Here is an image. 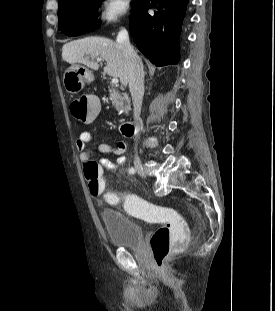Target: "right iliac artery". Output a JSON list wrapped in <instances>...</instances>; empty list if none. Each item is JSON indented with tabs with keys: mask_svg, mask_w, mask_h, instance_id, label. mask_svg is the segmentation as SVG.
Listing matches in <instances>:
<instances>
[{
	"mask_svg": "<svg viewBox=\"0 0 275 311\" xmlns=\"http://www.w3.org/2000/svg\"><path fill=\"white\" fill-rule=\"evenodd\" d=\"M128 172L129 174H135L136 170L133 167H131L129 168Z\"/></svg>",
	"mask_w": 275,
	"mask_h": 311,
	"instance_id": "right-iliac-artery-1",
	"label": "right iliac artery"
}]
</instances>
